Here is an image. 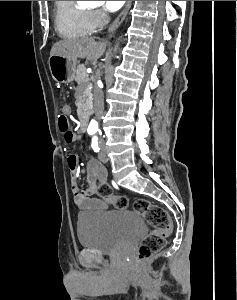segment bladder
<instances>
[{
  "label": "bladder",
  "instance_id": "obj_1",
  "mask_svg": "<svg viewBox=\"0 0 237 300\" xmlns=\"http://www.w3.org/2000/svg\"><path fill=\"white\" fill-rule=\"evenodd\" d=\"M145 230V223L139 214L128 210H115L107 215H80L76 234L83 248L100 254H115L132 245Z\"/></svg>",
  "mask_w": 237,
  "mask_h": 300
}]
</instances>
